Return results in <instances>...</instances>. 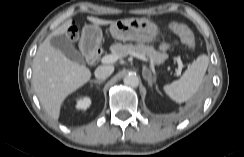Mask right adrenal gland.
<instances>
[{"label": "right adrenal gland", "mask_w": 244, "mask_h": 157, "mask_svg": "<svg viewBox=\"0 0 244 157\" xmlns=\"http://www.w3.org/2000/svg\"><path fill=\"white\" fill-rule=\"evenodd\" d=\"M104 80H92L91 83L102 84Z\"/></svg>", "instance_id": "1"}]
</instances>
